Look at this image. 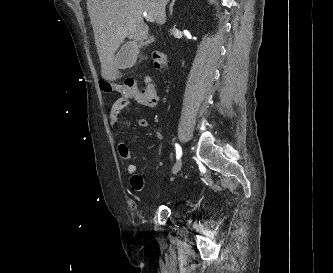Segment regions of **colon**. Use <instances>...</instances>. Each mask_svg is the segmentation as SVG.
Segmentation results:
<instances>
[{
  "mask_svg": "<svg viewBox=\"0 0 333 273\" xmlns=\"http://www.w3.org/2000/svg\"><path fill=\"white\" fill-rule=\"evenodd\" d=\"M153 62L158 71H165L168 68V59L162 52L153 54ZM101 89L106 92H117L125 97H133L138 88L133 79H125L122 82L102 81Z\"/></svg>",
  "mask_w": 333,
  "mask_h": 273,
  "instance_id": "1",
  "label": "colon"
}]
</instances>
